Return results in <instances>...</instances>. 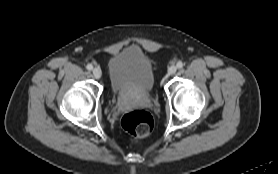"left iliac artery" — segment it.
<instances>
[{
	"label": "left iliac artery",
	"instance_id": "left-iliac-artery-1",
	"mask_svg": "<svg viewBox=\"0 0 278 174\" xmlns=\"http://www.w3.org/2000/svg\"><path fill=\"white\" fill-rule=\"evenodd\" d=\"M183 65L184 64L181 61L177 62V64H176L177 68H179V69L182 68Z\"/></svg>",
	"mask_w": 278,
	"mask_h": 174
}]
</instances>
